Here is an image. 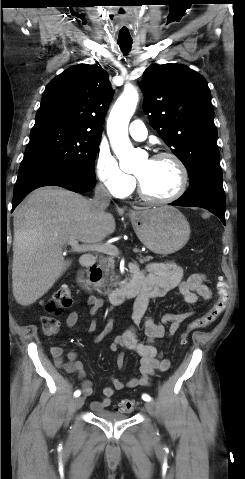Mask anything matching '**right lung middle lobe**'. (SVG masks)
<instances>
[{"mask_svg": "<svg viewBox=\"0 0 245 479\" xmlns=\"http://www.w3.org/2000/svg\"><path fill=\"white\" fill-rule=\"evenodd\" d=\"M100 138V135L59 126L32 128L19 173L53 166L96 178L94 163Z\"/></svg>", "mask_w": 245, "mask_h": 479, "instance_id": "obj_1", "label": "right lung middle lobe"}]
</instances>
